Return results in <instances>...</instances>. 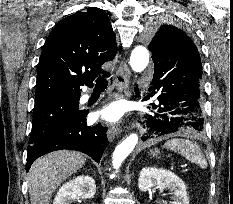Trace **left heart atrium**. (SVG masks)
<instances>
[{"instance_id": "obj_1", "label": "left heart atrium", "mask_w": 233, "mask_h": 204, "mask_svg": "<svg viewBox=\"0 0 233 204\" xmlns=\"http://www.w3.org/2000/svg\"><path fill=\"white\" fill-rule=\"evenodd\" d=\"M123 114V107L119 103H111L94 114L95 119L116 122Z\"/></svg>"}]
</instances>
